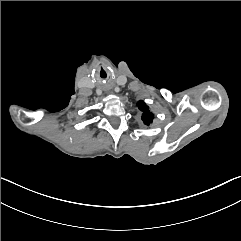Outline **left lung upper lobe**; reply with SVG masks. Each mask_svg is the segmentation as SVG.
<instances>
[{
    "instance_id": "obj_1",
    "label": "left lung upper lobe",
    "mask_w": 241,
    "mask_h": 241,
    "mask_svg": "<svg viewBox=\"0 0 241 241\" xmlns=\"http://www.w3.org/2000/svg\"><path fill=\"white\" fill-rule=\"evenodd\" d=\"M137 106L143 112L142 120L144 124L149 126L154 118L153 113L149 110L148 106L143 101H139Z\"/></svg>"
}]
</instances>
